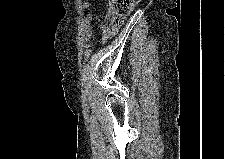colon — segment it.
<instances>
[{
    "label": "colon",
    "mask_w": 225,
    "mask_h": 159,
    "mask_svg": "<svg viewBox=\"0 0 225 159\" xmlns=\"http://www.w3.org/2000/svg\"><path fill=\"white\" fill-rule=\"evenodd\" d=\"M136 0H110L108 23L111 30H117L126 15H128Z\"/></svg>",
    "instance_id": "1"
}]
</instances>
